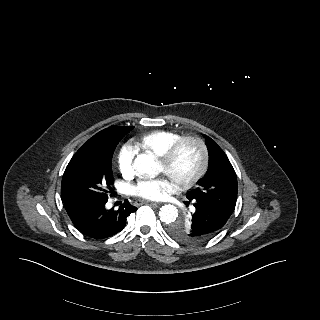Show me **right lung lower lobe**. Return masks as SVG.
<instances>
[{
    "instance_id": "98d812e1",
    "label": "right lung lower lobe",
    "mask_w": 320,
    "mask_h": 320,
    "mask_svg": "<svg viewBox=\"0 0 320 320\" xmlns=\"http://www.w3.org/2000/svg\"><path fill=\"white\" fill-rule=\"evenodd\" d=\"M107 200L65 201V209L74 226L86 237L104 239L120 232L127 217L137 210L128 200L118 210L105 208Z\"/></svg>"
}]
</instances>
